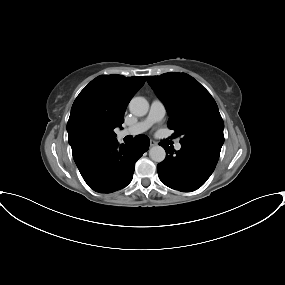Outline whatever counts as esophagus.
Returning a JSON list of instances; mask_svg holds the SVG:
<instances>
[{"label":"esophagus","mask_w":285,"mask_h":285,"mask_svg":"<svg viewBox=\"0 0 285 285\" xmlns=\"http://www.w3.org/2000/svg\"><path fill=\"white\" fill-rule=\"evenodd\" d=\"M157 142L154 140H150V147L156 146Z\"/></svg>","instance_id":"esophagus-1"}]
</instances>
